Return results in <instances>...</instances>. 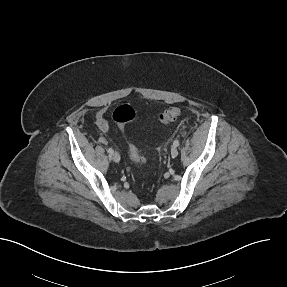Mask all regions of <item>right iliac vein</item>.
Instances as JSON below:
<instances>
[{"instance_id": "1", "label": "right iliac vein", "mask_w": 287, "mask_h": 287, "mask_svg": "<svg viewBox=\"0 0 287 287\" xmlns=\"http://www.w3.org/2000/svg\"><path fill=\"white\" fill-rule=\"evenodd\" d=\"M112 159L114 162L118 163L120 161V155L117 152H114L112 155Z\"/></svg>"}]
</instances>
